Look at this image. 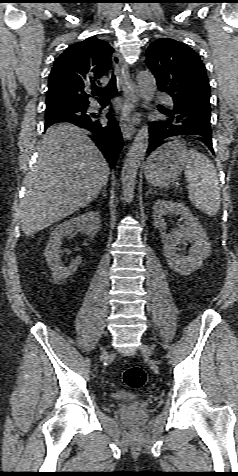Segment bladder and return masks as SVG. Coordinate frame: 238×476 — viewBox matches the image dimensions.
I'll list each match as a JSON object with an SVG mask.
<instances>
[{
    "mask_svg": "<svg viewBox=\"0 0 238 476\" xmlns=\"http://www.w3.org/2000/svg\"><path fill=\"white\" fill-rule=\"evenodd\" d=\"M111 397L114 400H132L136 398V395L131 394L127 391L118 390V391H115Z\"/></svg>",
    "mask_w": 238,
    "mask_h": 476,
    "instance_id": "bladder-1",
    "label": "bladder"
}]
</instances>
